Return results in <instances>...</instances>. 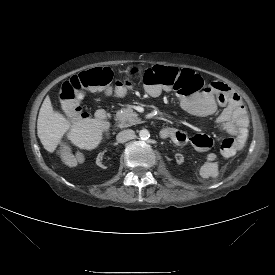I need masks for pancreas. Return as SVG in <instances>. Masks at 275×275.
Returning <instances> with one entry per match:
<instances>
[{
	"label": "pancreas",
	"instance_id": "cf45deb5",
	"mask_svg": "<svg viewBox=\"0 0 275 275\" xmlns=\"http://www.w3.org/2000/svg\"><path fill=\"white\" fill-rule=\"evenodd\" d=\"M115 118L120 128L130 127L140 122L137 113L131 108H122L117 111Z\"/></svg>",
	"mask_w": 275,
	"mask_h": 275
}]
</instances>
